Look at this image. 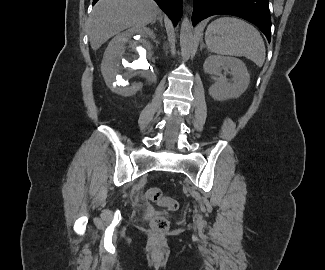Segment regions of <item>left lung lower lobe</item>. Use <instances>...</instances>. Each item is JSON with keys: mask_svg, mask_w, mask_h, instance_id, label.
Here are the masks:
<instances>
[{"mask_svg": "<svg viewBox=\"0 0 325 270\" xmlns=\"http://www.w3.org/2000/svg\"><path fill=\"white\" fill-rule=\"evenodd\" d=\"M212 15H234L256 25L271 39L269 0H194L192 23Z\"/></svg>", "mask_w": 325, "mask_h": 270, "instance_id": "left-lung-lower-lobe-1", "label": "left lung lower lobe"}]
</instances>
